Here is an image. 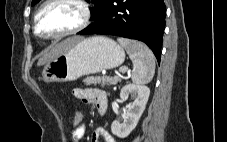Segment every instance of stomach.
I'll use <instances>...</instances> for the list:
<instances>
[{
	"label": "stomach",
	"instance_id": "0dacf381",
	"mask_svg": "<svg viewBox=\"0 0 227 142\" xmlns=\"http://www.w3.org/2000/svg\"><path fill=\"white\" fill-rule=\"evenodd\" d=\"M124 49L104 36H93L76 42L66 52L47 63L42 71L45 82L75 81L88 74L120 66Z\"/></svg>",
	"mask_w": 227,
	"mask_h": 142
}]
</instances>
